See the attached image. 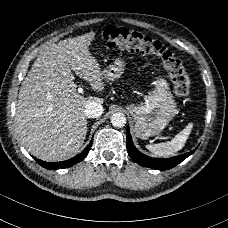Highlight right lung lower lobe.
Returning <instances> with one entry per match:
<instances>
[{
	"label": "right lung lower lobe",
	"instance_id": "98d812e1",
	"mask_svg": "<svg viewBox=\"0 0 228 228\" xmlns=\"http://www.w3.org/2000/svg\"><path fill=\"white\" fill-rule=\"evenodd\" d=\"M92 142H93V139H91L90 144L79 155H77L69 160H66V161L44 162V161L36 159L34 157L33 158L37 161L38 164H40L42 167L49 169V170L67 168V167H70V166L80 162L87 156V154L89 153V151L91 149Z\"/></svg>",
	"mask_w": 228,
	"mask_h": 228
}]
</instances>
